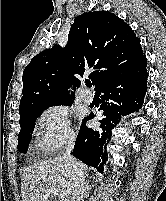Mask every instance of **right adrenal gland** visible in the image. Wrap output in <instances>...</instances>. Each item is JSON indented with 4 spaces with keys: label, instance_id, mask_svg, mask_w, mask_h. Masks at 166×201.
Masks as SVG:
<instances>
[{
    "label": "right adrenal gland",
    "instance_id": "2a0ac1e0",
    "mask_svg": "<svg viewBox=\"0 0 166 201\" xmlns=\"http://www.w3.org/2000/svg\"><path fill=\"white\" fill-rule=\"evenodd\" d=\"M92 186L89 185V181L86 182L84 197H88L89 196V191H90V189H91Z\"/></svg>",
    "mask_w": 166,
    "mask_h": 201
}]
</instances>
